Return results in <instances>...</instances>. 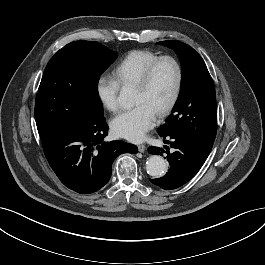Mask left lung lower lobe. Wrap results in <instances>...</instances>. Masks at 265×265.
Listing matches in <instances>:
<instances>
[{
    "mask_svg": "<svg viewBox=\"0 0 265 265\" xmlns=\"http://www.w3.org/2000/svg\"><path fill=\"white\" fill-rule=\"evenodd\" d=\"M161 137H163L165 143L170 144V147L174 149V152L171 153L169 147L165 146L170 169L165 176L150 179V181L165 190H172L184 185L193 178L209 154L204 153L195 143L188 139L177 136ZM148 151L151 154L161 156L164 153L163 149L153 146L149 147Z\"/></svg>",
    "mask_w": 265,
    "mask_h": 265,
    "instance_id": "0a47b994",
    "label": "left lung lower lobe"
}]
</instances>
